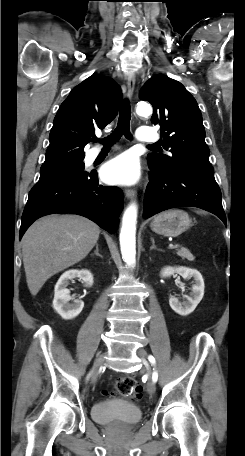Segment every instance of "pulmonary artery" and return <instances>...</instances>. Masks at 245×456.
Returning <instances> with one entry per match:
<instances>
[{"label":"pulmonary artery","instance_id":"obj_1","mask_svg":"<svg viewBox=\"0 0 245 456\" xmlns=\"http://www.w3.org/2000/svg\"><path fill=\"white\" fill-rule=\"evenodd\" d=\"M159 138L157 132L150 128V127H140L137 130V139L141 142H155ZM101 149L100 148H94L90 152V158L94 159L98 156L100 153Z\"/></svg>","mask_w":245,"mask_h":456}]
</instances>
